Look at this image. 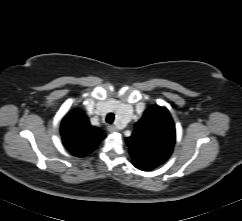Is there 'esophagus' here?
<instances>
[{
  "label": "esophagus",
  "instance_id": "34e87169",
  "mask_svg": "<svg viewBox=\"0 0 242 221\" xmlns=\"http://www.w3.org/2000/svg\"><path fill=\"white\" fill-rule=\"evenodd\" d=\"M108 131L111 133L117 132V128L114 125L108 126Z\"/></svg>",
  "mask_w": 242,
  "mask_h": 221
}]
</instances>
